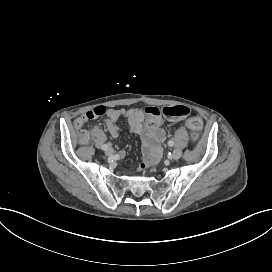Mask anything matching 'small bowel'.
Here are the masks:
<instances>
[{
    "instance_id": "small-bowel-1",
    "label": "small bowel",
    "mask_w": 272,
    "mask_h": 272,
    "mask_svg": "<svg viewBox=\"0 0 272 272\" xmlns=\"http://www.w3.org/2000/svg\"><path fill=\"white\" fill-rule=\"evenodd\" d=\"M147 116V111L140 108L129 109H114L110 108L107 111L106 118L103 120L104 125L112 137H117L119 134V127L117 121L120 117L127 119L129 130L131 133L139 135L142 140L144 159L140 164V168L144 170L151 164L155 163L161 154L160 142L165 136L164 129L161 128L162 120L157 119L154 126H144V120ZM177 122L180 119H172ZM75 121H82L84 124L87 121L84 115L76 118ZM150 155V157H148Z\"/></svg>"
}]
</instances>
